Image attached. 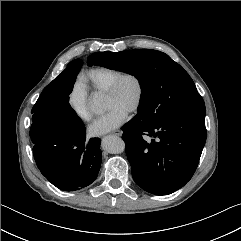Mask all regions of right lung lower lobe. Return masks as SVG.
<instances>
[{"mask_svg":"<svg viewBox=\"0 0 241 241\" xmlns=\"http://www.w3.org/2000/svg\"><path fill=\"white\" fill-rule=\"evenodd\" d=\"M52 125L51 134L31 137L37 167L61 190L75 191L90 185L101 166V139L87 141L86 129L63 131L55 122Z\"/></svg>","mask_w":241,"mask_h":241,"instance_id":"98d812e1","label":"right lung lower lobe"}]
</instances>
